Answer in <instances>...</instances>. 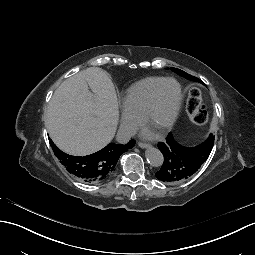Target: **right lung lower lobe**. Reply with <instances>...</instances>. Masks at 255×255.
<instances>
[{"instance_id":"98d812e1","label":"right lung lower lobe","mask_w":255,"mask_h":255,"mask_svg":"<svg viewBox=\"0 0 255 255\" xmlns=\"http://www.w3.org/2000/svg\"><path fill=\"white\" fill-rule=\"evenodd\" d=\"M83 168V177L90 180L94 177V175H98L100 173V160L94 158L93 154L86 153L83 155Z\"/></svg>"}]
</instances>
